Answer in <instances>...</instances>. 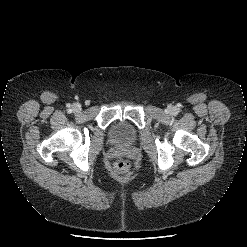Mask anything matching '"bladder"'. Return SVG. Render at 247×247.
Returning <instances> with one entry per match:
<instances>
[{"instance_id":"bladder-1","label":"bladder","mask_w":247,"mask_h":247,"mask_svg":"<svg viewBox=\"0 0 247 247\" xmlns=\"http://www.w3.org/2000/svg\"><path fill=\"white\" fill-rule=\"evenodd\" d=\"M111 142L118 145H129L137 139L136 128L128 122H115L109 131Z\"/></svg>"}]
</instances>
